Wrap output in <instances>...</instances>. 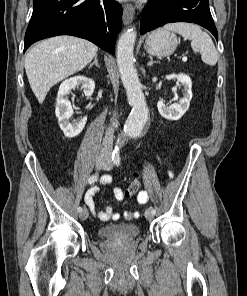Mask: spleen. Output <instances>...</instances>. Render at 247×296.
Returning <instances> with one entry per match:
<instances>
[{
	"mask_svg": "<svg viewBox=\"0 0 247 296\" xmlns=\"http://www.w3.org/2000/svg\"><path fill=\"white\" fill-rule=\"evenodd\" d=\"M165 30L176 32L184 39L191 40L194 52H200L202 61L214 66L218 60V53L210 36L201 30L198 25L185 22L169 23L164 26Z\"/></svg>",
	"mask_w": 247,
	"mask_h": 296,
	"instance_id": "spleen-1",
	"label": "spleen"
}]
</instances>
